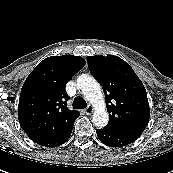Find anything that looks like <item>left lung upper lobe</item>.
Masks as SVG:
<instances>
[{
  "instance_id": "left-lung-upper-lobe-1",
  "label": "left lung upper lobe",
  "mask_w": 173,
  "mask_h": 173,
  "mask_svg": "<svg viewBox=\"0 0 173 173\" xmlns=\"http://www.w3.org/2000/svg\"><path fill=\"white\" fill-rule=\"evenodd\" d=\"M87 62L105 93L109 112L106 127L139 137L150 117L147 93L141 80L130 65L117 56H88Z\"/></svg>"
}]
</instances>
